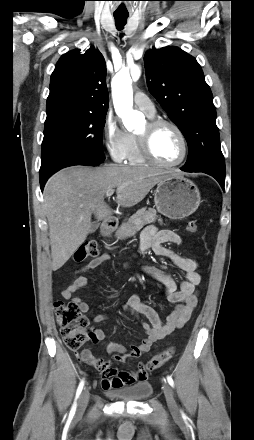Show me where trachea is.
Returning <instances> with one entry per match:
<instances>
[{
    "label": "trachea",
    "mask_w": 254,
    "mask_h": 440,
    "mask_svg": "<svg viewBox=\"0 0 254 440\" xmlns=\"http://www.w3.org/2000/svg\"><path fill=\"white\" fill-rule=\"evenodd\" d=\"M114 18H115L116 27L118 29H122L125 26L126 22H127L128 16L115 15Z\"/></svg>",
    "instance_id": "trachea-1"
}]
</instances>
